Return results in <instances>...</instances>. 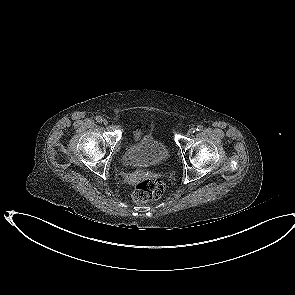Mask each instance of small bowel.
Listing matches in <instances>:
<instances>
[{
    "instance_id": "obj_1",
    "label": "small bowel",
    "mask_w": 295,
    "mask_h": 295,
    "mask_svg": "<svg viewBox=\"0 0 295 295\" xmlns=\"http://www.w3.org/2000/svg\"><path fill=\"white\" fill-rule=\"evenodd\" d=\"M142 136V131L140 129H135L133 132V137L138 141ZM153 177V172L151 170H138L127 172L124 175V180L128 185L139 184L151 179Z\"/></svg>"
}]
</instances>
